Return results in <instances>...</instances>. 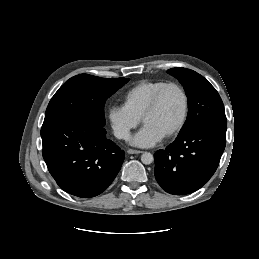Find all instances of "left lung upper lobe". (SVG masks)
<instances>
[{
    "label": "left lung upper lobe",
    "instance_id": "5c2ea615",
    "mask_svg": "<svg viewBox=\"0 0 259 259\" xmlns=\"http://www.w3.org/2000/svg\"><path fill=\"white\" fill-rule=\"evenodd\" d=\"M167 72L180 81L188 98L187 119L178 136L205 122L227 123L218 92L203 76L186 68H172Z\"/></svg>",
    "mask_w": 259,
    "mask_h": 259
}]
</instances>
